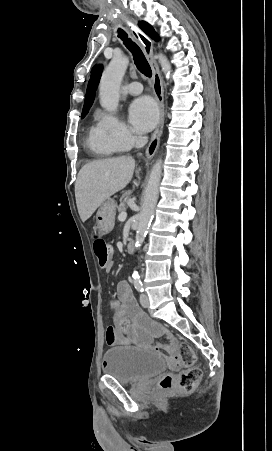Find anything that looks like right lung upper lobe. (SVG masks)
I'll return each mask as SVG.
<instances>
[{"label": "right lung upper lobe", "mask_w": 272, "mask_h": 451, "mask_svg": "<svg viewBox=\"0 0 272 451\" xmlns=\"http://www.w3.org/2000/svg\"><path fill=\"white\" fill-rule=\"evenodd\" d=\"M101 73H102V65H99L92 73L91 79L89 81L83 108H90L91 105L93 104L95 98V91L97 89Z\"/></svg>", "instance_id": "obj_1"}]
</instances>
